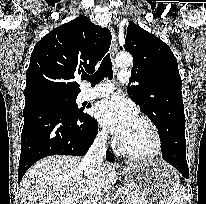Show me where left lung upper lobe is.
Masks as SVG:
<instances>
[{"label": "left lung upper lobe", "instance_id": "obj_1", "mask_svg": "<svg viewBox=\"0 0 206 204\" xmlns=\"http://www.w3.org/2000/svg\"><path fill=\"white\" fill-rule=\"evenodd\" d=\"M125 50L133 56L129 97L154 122L160 137L172 124L185 120L178 64L162 40L130 21ZM136 82V85H130Z\"/></svg>", "mask_w": 206, "mask_h": 204}]
</instances>
